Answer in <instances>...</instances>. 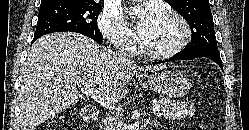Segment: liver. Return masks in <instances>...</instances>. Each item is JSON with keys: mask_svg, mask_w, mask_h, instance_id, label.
Returning a JSON list of instances; mask_svg holds the SVG:
<instances>
[{"mask_svg": "<svg viewBox=\"0 0 249 130\" xmlns=\"http://www.w3.org/2000/svg\"><path fill=\"white\" fill-rule=\"evenodd\" d=\"M166 66L139 67L121 63L115 53L78 33H53L30 48L19 90L20 128L35 130L78 101L77 86L98 85L114 105L124 98L135 72H156Z\"/></svg>", "mask_w": 249, "mask_h": 130, "instance_id": "obj_1", "label": "liver"}]
</instances>
